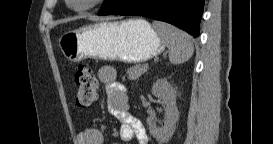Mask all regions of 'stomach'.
Masks as SVG:
<instances>
[{
	"mask_svg": "<svg viewBox=\"0 0 273 144\" xmlns=\"http://www.w3.org/2000/svg\"><path fill=\"white\" fill-rule=\"evenodd\" d=\"M159 33L144 19L102 21L64 33L59 47L66 59L87 58L141 63L165 49Z\"/></svg>",
	"mask_w": 273,
	"mask_h": 144,
	"instance_id": "stomach-1",
	"label": "stomach"
}]
</instances>
